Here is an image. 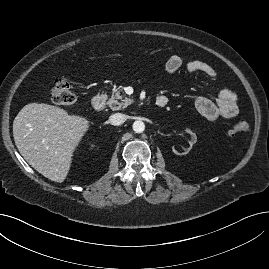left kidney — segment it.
Here are the masks:
<instances>
[{
  "mask_svg": "<svg viewBox=\"0 0 269 269\" xmlns=\"http://www.w3.org/2000/svg\"><path fill=\"white\" fill-rule=\"evenodd\" d=\"M189 135H190V139L188 140L189 143V147L185 148L184 150H182L181 152L176 150L175 147L172 148L173 153H175L176 155H186L189 153V151L191 150L192 146L197 142V136L195 133H193L192 131H188Z\"/></svg>",
  "mask_w": 269,
  "mask_h": 269,
  "instance_id": "1",
  "label": "left kidney"
}]
</instances>
